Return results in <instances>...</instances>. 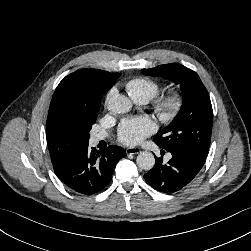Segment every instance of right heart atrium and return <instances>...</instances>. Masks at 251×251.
I'll return each mask as SVG.
<instances>
[{"instance_id":"d8ad5b80","label":"right heart atrium","mask_w":251,"mask_h":251,"mask_svg":"<svg viewBox=\"0 0 251 251\" xmlns=\"http://www.w3.org/2000/svg\"><path fill=\"white\" fill-rule=\"evenodd\" d=\"M115 94V90L111 89L106 97V104L108 103V101L110 100V98Z\"/></svg>"}]
</instances>
